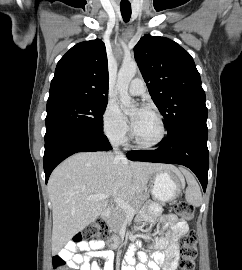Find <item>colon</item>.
<instances>
[{"label":"colon","instance_id":"1","mask_svg":"<svg viewBox=\"0 0 242 270\" xmlns=\"http://www.w3.org/2000/svg\"><path fill=\"white\" fill-rule=\"evenodd\" d=\"M174 213L181 219L190 220L193 217V207L185 202H179L174 208ZM109 235V228L103 219L92 222L82 232L78 233L74 239V243H81L89 240L105 238ZM181 263L180 270H196V259L198 256L197 236L196 233L190 231L181 240ZM54 270H73L70 268L66 260L59 254L55 255L52 260Z\"/></svg>","mask_w":242,"mask_h":270}]
</instances>
